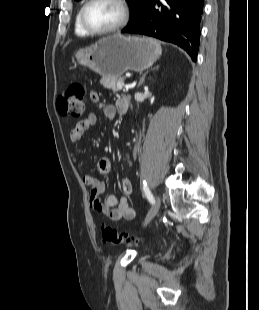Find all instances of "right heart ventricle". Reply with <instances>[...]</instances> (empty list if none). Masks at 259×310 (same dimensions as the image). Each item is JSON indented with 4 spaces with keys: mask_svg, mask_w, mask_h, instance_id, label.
<instances>
[{
    "mask_svg": "<svg viewBox=\"0 0 259 310\" xmlns=\"http://www.w3.org/2000/svg\"><path fill=\"white\" fill-rule=\"evenodd\" d=\"M79 13H80V11L77 13V15L75 17V21H74L75 34L77 36H80V37L89 36V34L83 29V27L80 24Z\"/></svg>",
    "mask_w": 259,
    "mask_h": 310,
    "instance_id": "obj_1",
    "label": "right heart ventricle"
}]
</instances>
